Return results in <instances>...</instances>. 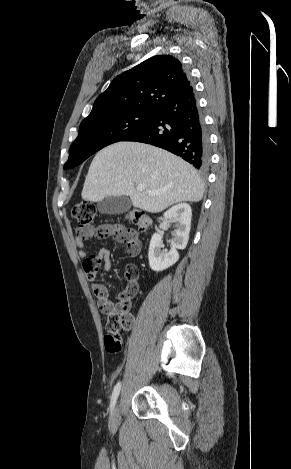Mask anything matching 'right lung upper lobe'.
I'll use <instances>...</instances> for the list:
<instances>
[{
  "mask_svg": "<svg viewBox=\"0 0 291 469\" xmlns=\"http://www.w3.org/2000/svg\"><path fill=\"white\" fill-rule=\"evenodd\" d=\"M187 73L170 55L153 56L117 76L95 100L86 119L104 118L133 109L154 110L179 89L190 87Z\"/></svg>",
  "mask_w": 291,
  "mask_h": 469,
  "instance_id": "cb5924a9",
  "label": "right lung upper lobe"
}]
</instances>
